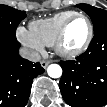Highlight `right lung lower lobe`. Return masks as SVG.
<instances>
[{
    "mask_svg": "<svg viewBox=\"0 0 107 107\" xmlns=\"http://www.w3.org/2000/svg\"><path fill=\"white\" fill-rule=\"evenodd\" d=\"M20 43L0 39V107H24L33 79L45 70L18 54Z\"/></svg>",
    "mask_w": 107,
    "mask_h": 107,
    "instance_id": "obj_1",
    "label": "right lung lower lobe"
}]
</instances>
